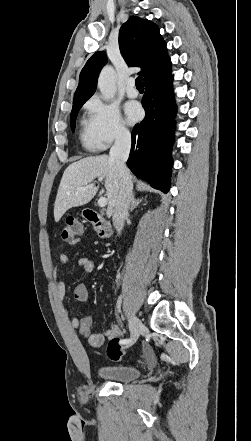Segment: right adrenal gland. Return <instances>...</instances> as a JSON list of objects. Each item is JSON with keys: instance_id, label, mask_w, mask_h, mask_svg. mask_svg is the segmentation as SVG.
Returning <instances> with one entry per match:
<instances>
[{"instance_id": "obj_1", "label": "right adrenal gland", "mask_w": 251, "mask_h": 441, "mask_svg": "<svg viewBox=\"0 0 251 441\" xmlns=\"http://www.w3.org/2000/svg\"><path fill=\"white\" fill-rule=\"evenodd\" d=\"M143 199H135V195L133 194L131 197V204H130V211L132 212L141 202Z\"/></svg>"}]
</instances>
